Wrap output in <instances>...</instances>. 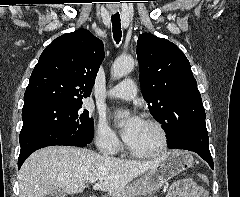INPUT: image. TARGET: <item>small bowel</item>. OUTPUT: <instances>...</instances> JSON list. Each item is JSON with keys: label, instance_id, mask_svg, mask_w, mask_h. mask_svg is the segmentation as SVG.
<instances>
[{"label": "small bowel", "instance_id": "1", "mask_svg": "<svg viewBox=\"0 0 240 197\" xmlns=\"http://www.w3.org/2000/svg\"><path fill=\"white\" fill-rule=\"evenodd\" d=\"M168 197H209L208 192L190 180H184L175 185Z\"/></svg>", "mask_w": 240, "mask_h": 197}]
</instances>
